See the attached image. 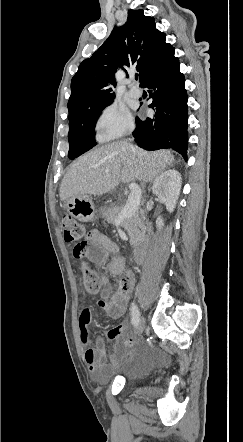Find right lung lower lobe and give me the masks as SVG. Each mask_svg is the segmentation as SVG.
<instances>
[{"label": "right lung lower lobe", "mask_w": 243, "mask_h": 442, "mask_svg": "<svg viewBox=\"0 0 243 442\" xmlns=\"http://www.w3.org/2000/svg\"><path fill=\"white\" fill-rule=\"evenodd\" d=\"M174 50L141 84L149 89L155 116L145 121L136 118L135 142L146 150L171 148L187 160V93L184 75L179 71Z\"/></svg>", "instance_id": "1"}]
</instances>
